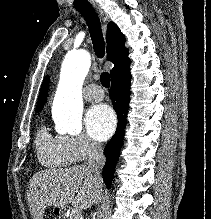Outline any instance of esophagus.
Returning a JSON list of instances; mask_svg holds the SVG:
<instances>
[{
	"instance_id": "obj_1",
	"label": "esophagus",
	"mask_w": 211,
	"mask_h": 219,
	"mask_svg": "<svg viewBox=\"0 0 211 219\" xmlns=\"http://www.w3.org/2000/svg\"><path fill=\"white\" fill-rule=\"evenodd\" d=\"M93 6H94V8H95L98 12L101 13V15H103V12H102L101 8H100L98 5L94 4Z\"/></svg>"
}]
</instances>
